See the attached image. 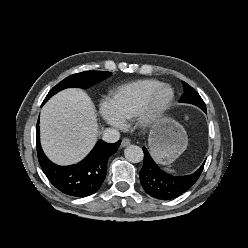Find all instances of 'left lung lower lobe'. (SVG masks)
Returning a JSON list of instances; mask_svg holds the SVG:
<instances>
[{"mask_svg": "<svg viewBox=\"0 0 248 248\" xmlns=\"http://www.w3.org/2000/svg\"><path fill=\"white\" fill-rule=\"evenodd\" d=\"M207 113L206 108H201ZM144 160L140 171V182L144 190L152 197L162 200L176 198L186 192L200 177L205 162L193 174L172 176L161 170L143 147Z\"/></svg>", "mask_w": 248, "mask_h": 248, "instance_id": "left-lung-lower-lobe-1", "label": "left lung lower lobe"}]
</instances>
